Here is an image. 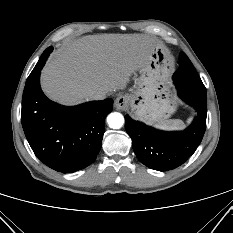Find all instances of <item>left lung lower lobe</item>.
<instances>
[{
  "label": "left lung lower lobe",
  "instance_id": "0a47b994",
  "mask_svg": "<svg viewBox=\"0 0 233 233\" xmlns=\"http://www.w3.org/2000/svg\"><path fill=\"white\" fill-rule=\"evenodd\" d=\"M189 58L181 52L179 69L187 66ZM174 79V78H173ZM179 96L193 106L198 115L182 132H163L125 116V128L132 139L134 153L147 167L168 171L182 165L199 146L206 128V88L189 86L174 79Z\"/></svg>",
  "mask_w": 233,
  "mask_h": 233
}]
</instances>
